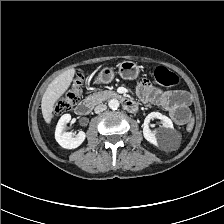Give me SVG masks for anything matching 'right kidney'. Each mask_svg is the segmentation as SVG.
Here are the masks:
<instances>
[{"instance_id": "1", "label": "right kidney", "mask_w": 224, "mask_h": 224, "mask_svg": "<svg viewBox=\"0 0 224 224\" xmlns=\"http://www.w3.org/2000/svg\"><path fill=\"white\" fill-rule=\"evenodd\" d=\"M71 120L70 114H64L59 119L56 130H55V139L58 144L65 149H75L79 147L85 140L86 134L83 131H79L77 135L72 132H65L64 126L69 123Z\"/></svg>"}]
</instances>
